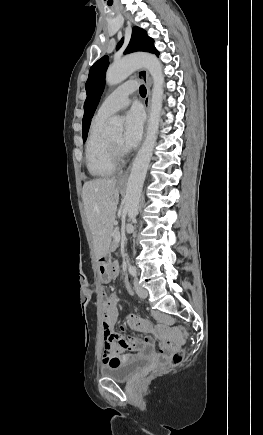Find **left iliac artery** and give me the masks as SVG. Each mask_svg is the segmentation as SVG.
I'll return each mask as SVG.
<instances>
[{
  "instance_id": "obj_1",
  "label": "left iliac artery",
  "mask_w": 263,
  "mask_h": 435,
  "mask_svg": "<svg viewBox=\"0 0 263 435\" xmlns=\"http://www.w3.org/2000/svg\"><path fill=\"white\" fill-rule=\"evenodd\" d=\"M128 270L132 276H136L137 272H136V268L134 266H129Z\"/></svg>"
}]
</instances>
